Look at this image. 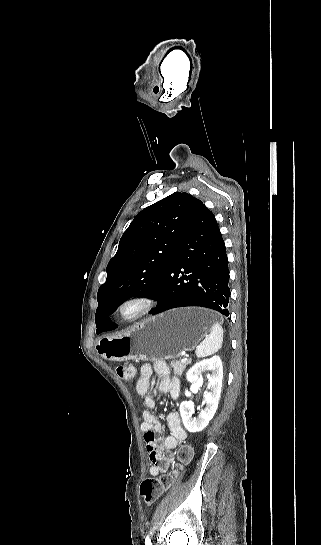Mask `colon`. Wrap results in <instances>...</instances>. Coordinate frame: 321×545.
<instances>
[{
  "mask_svg": "<svg viewBox=\"0 0 321 545\" xmlns=\"http://www.w3.org/2000/svg\"><path fill=\"white\" fill-rule=\"evenodd\" d=\"M119 377L125 381H132L135 376V368L131 364L120 365L116 368ZM180 462H187L191 457V449L183 446L178 451ZM173 479V474H165L160 477L145 478L140 485V495L147 505L154 504L160 496L168 489Z\"/></svg>",
  "mask_w": 321,
  "mask_h": 545,
  "instance_id": "obj_1",
  "label": "colon"
}]
</instances>
